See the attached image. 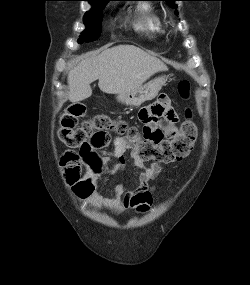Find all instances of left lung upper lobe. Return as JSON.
<instances>
[{"label": "left lung upper lobe", "mask_w": 250, "mask_h": 285, "mask_svg": "<svg viewBox=\"0 0 250 285\" xmlns=\"http://www.w3.org/2000/svg\"><path fill=\"white\" fill-rule=\"evenodd\" d=\"M160 1H166L167 4L169 5V7L173 8V9H176L177 6L175 5V1H179V0H160Z\"/></svg>", "instance_id": "5c2ea615"}]
</instances>
